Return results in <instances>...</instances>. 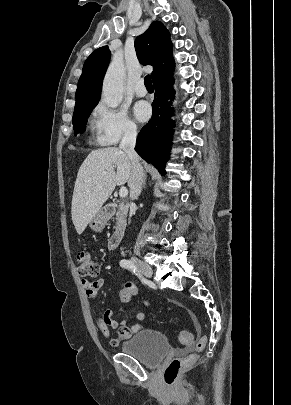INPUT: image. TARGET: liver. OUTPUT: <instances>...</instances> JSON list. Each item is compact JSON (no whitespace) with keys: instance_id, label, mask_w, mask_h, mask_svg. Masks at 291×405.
Returning <instances> with one entry per match:
<instances>
[{"instance_id":"6515ba94","label":"liver","mask_w":291,"mask_h":405,"mask_svg":"<svg viewBox=\"0 0 291 405\" xmlns=\"http://www.w3.org/2000/svg\"><path fill=\"white\" fill-rule=\"evenodd\" d=\"M130 174V159L123 150L107 147L89 153L79 168L72 197V221L79 235L107 201L116 185L129 181Z\"/></svg>"}]
</instances>
